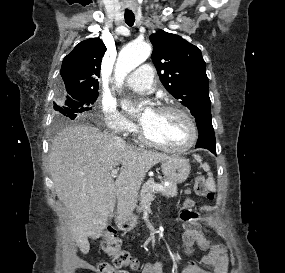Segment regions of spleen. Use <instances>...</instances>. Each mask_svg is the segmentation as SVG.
<instances>
[{
    "instance_id": "spleen-1",
    "label": "spleen",
    "mask_w": 285,
    "mask_h": 273,
    "mask_svg": "<svg viewBox=\"0 0 285 273\" xmlns=\"http://www.w3.org/2000/svg\"><path fill=\"white\" fill-rule=\"evenodd\" d=\"M196 160L201 162V158L199 156H195ZM203 169L208 172L209 178H208V186L211 190H215V182L213 179V174L210 172V167L209 165L206 163L203 165Z\"/></svg>"
}]
</instances>
